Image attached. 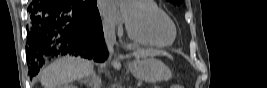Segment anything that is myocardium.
<instances>
[{
	"instance_id": "myocardium-1",
	"label": "myocardium",
	"mask_w": 267,
	"mask_h": 88,
	"mask_svg": "<svg viewBox=\"0 0 267 88\" xmlns=\"http://www.w3.org/2000/svg\"><path fill=\"white\" fill-rule=\"evenodd\" d=\"M132 2L139 5V6L146 7L148 10H150L156 16H161V17L167 19L170 22V24L172 25L173 37L169 41H163V40L155 39L153 37H150L146 34L139 32L137 30H134L127 22L126 28H127V32L129 34V36L140 41V42H143L146 44H151V45H156V46H167V45L172 44L174 42L176 36H177V28H176L175 23L172 21V19L169 16L163 14V12H161L160 10L152 9L141 1H132Z\"/></svg>"
}]
</instances>
